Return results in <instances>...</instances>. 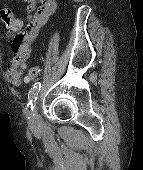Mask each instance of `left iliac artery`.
Segmentation results:
<instances>
[{
  "mask_svg": "<svg viewBox=\"0 0 143 170\" xmlns=\"http://www.w3.org/2000/svg\"><path fill=\"white\" fill-rule=\"evenodd\" d=\"M40 89H41V82H37L29 91V94H28L29 103L26 108L27 112H30L34 109L33 102L37 100V96H38Z\"/></svg>",
  "mask_w": 143,
  "mask_h": 170,
  "instance_id": "44dca946",
  "label": "left iliac artery"
}]
</instances>
